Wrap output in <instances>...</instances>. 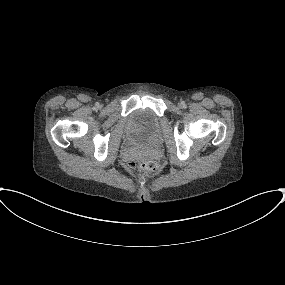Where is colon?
Returning a JSON list of instances; mask_svg holds the SVG:
<instances>
[{
	"label": "colon",
	"instance_id": "1",
	"mask_svg": "<svg viewBox=\"0 0 285 285\" xmlns=\"http://www.w3.org/2000/svg\"><path fill=\"white\" fill-rule=\"evenodd\" d=\"M129 167L131 169H140L146 172H155L159 169V163L153 157L148 156L142 160H133L129 162Z\"/></svg>",
	"mask_w": 285,
	"mask_h": 285
}]
</instances>
